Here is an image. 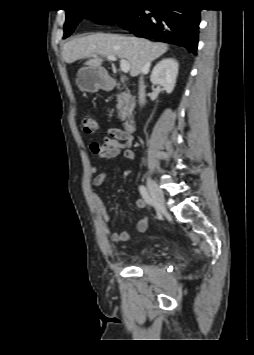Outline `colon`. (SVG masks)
Here are the masks:
<instances>
[{"label":"colon","instance_id":"5ec220e1","mask_svg":"<svg viewBox=\"0 0 254 355\" xmlns=\"http://www.w3.org/2000/svg\"><path fill=\"white\" fill-rule=\"evenodd\" d=\"M82 126L85 133L93 134L97 131L96 121L91 117L83 118Z\"/></svg>","mask_w":254,"mask_h":355}]
</instances>
